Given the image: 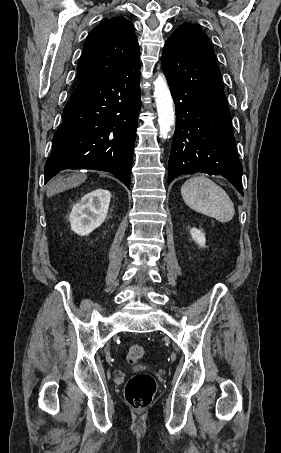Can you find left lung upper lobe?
Wrapping results in <instances>:
<instances>
[{
  "label": "left lung upper lobe",
  "instance_id": "left-lung-upper-lobe-1",
  "mask_svg": "<svg viewBox=\"0 0 281 453\" xmlns=\"http://www.w3.org/2000/svg\"><path fill=\"white\" fill-rule=\"evenodd\" d=\"M167 41H173L189 52L214 54L207 35L194 24L184 23L174 31Z\"/></svg>",
  "mask_w": 281,
  "mask_h": 453
}]
</instances>
